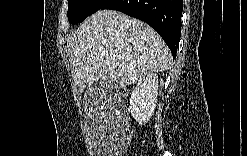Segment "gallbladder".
Returning a JSON list of instances; mask_svg holds the SVG:
<instances>
[{"mask_svg":"<svg viewBox=\"0 0 247 156\" xmlns=\"http://www.w3.org/2000/svg\"><path fill=\"white\" fill-rule=\"evenodd\" d=\"M112 83H113V81L111 80V78L108 75H106L104 78H102L101 84L103 86H110V85H112Z\"/></svg>","mask_w":247,"mask_h":156,"instance_id":"bac80fb5","label":"gallbladder"}]
</instances>
